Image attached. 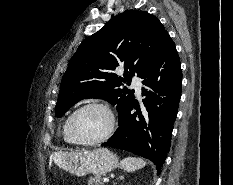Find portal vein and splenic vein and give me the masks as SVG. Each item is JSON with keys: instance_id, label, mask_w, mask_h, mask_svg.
Listing matches in <instances>:
<instances>
[{"instance_id": "portal-vein-and-splenic-vein-1", "label": "portal vein and splenic vein", "mask_w": 233, "mask_h": 185, "mask_svg": "<svg viewBox=\"0 0 233 185\" xmlns=\"http://www.w3.org/2000/svg\"><path fill=\"white\" fill-rule=\"evenodd\" d=\"M103 182L107 183V182H109V179L108 178H103Z\"/></svg>"}]
</instances>
